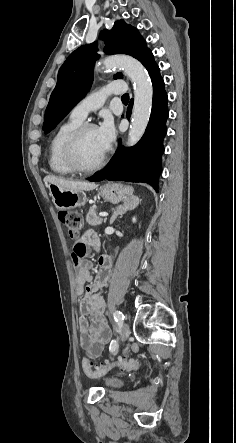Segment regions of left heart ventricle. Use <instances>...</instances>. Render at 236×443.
Listing matches in <instances>:
<instances>
[{"label": "left heart ventricle", "instance_id": "left-heart-ventricle-1", "mask_svg": "<svg viewBox=\"0 0 236 443\" xmlns=\"http://www.w3.org/2000/svg\"><path fill=\"white\" fill-rule=\"evenodd\" d=\"M105 151L97 128H91L85 132L78 144L77 158L83 166H92Z\"/></svg>", "mask_w": 236, "mask_h": 443}]
</instances>
